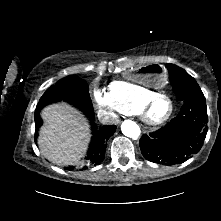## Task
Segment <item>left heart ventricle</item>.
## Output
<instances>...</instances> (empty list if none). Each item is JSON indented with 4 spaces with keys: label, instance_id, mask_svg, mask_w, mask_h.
Returning <instances> with one entry per match:
<instances>
[{
    "label": "left heart ventricle",
    "instance_id": "1",
    "mask_svg": "<svg viewBox=\"0 0 221 221\" xmlns=\"http://www.w3.org/2000/svg\"><path fill=\"white\" fill-rule=\"evenodd\" d=\"M170 110V103L166 99L157 100L149 110V115L153 119L164 117Z\"/></svg>",
    "mask_w": 221,
    "mask_h": 221
}]
</instances>
